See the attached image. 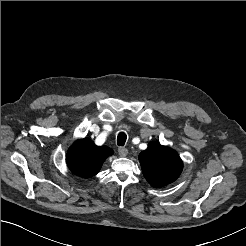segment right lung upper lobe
<instances>
[{"instance_id":"obj_1","label":"right lung upper lobe","mask_w":246,"mask_h":246,"mask_svg":"<svg viewBox=\"0 0 246 246\" xmlns=\"http://www.w3.org/2000/svg\"><path fill=\"white\" fill-rule=\"evenodd\" d=\"M112 152L107 146H96L92 140L84 138L70 147L66 162L74 174L88 178L99 172L103 162Z\"/></svg>"}]
</instances>
